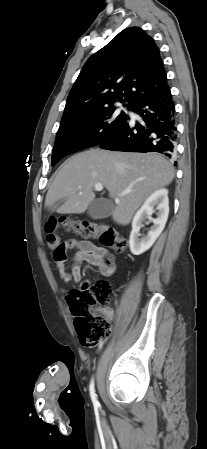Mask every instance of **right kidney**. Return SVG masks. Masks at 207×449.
Returning a JSON list of instances; mask_svg holds the SVG:
<instances>
[{"label":"right kidney","mask_w":207,"mask_h":449,"mask_svg":"<svg viewBox=\"0 0 207 449\" xmlns=\"http://www.w3.org/2000/svg\"><path fill=\"white\" fill-rule=\"evenodd\" d=\"M154 207H156V210H158V212L156 213L157 218L155 219L151 217V215L154 213ZM168 214V190L159 189L147 198L143 206L137 211L133 218L129 245L130 250L134 255H140L144 253L154 244L165 227ZM146 219H149L151 222H153V226H151L149 232L140 239L139 231Z\"/></svg>","instance_id":"1"}]
</instances>
